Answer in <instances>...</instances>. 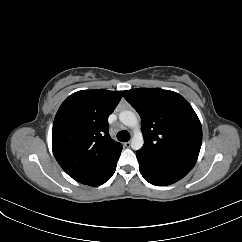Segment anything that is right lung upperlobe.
Returning <instances> with one entry per match:
<instances>
[{
	"label": "right lung upper lobe",
	"mask_w": 242,
	"mask_h": 242,
	"mask_svg": "<svg viewBox=\"0 0 242 242\" xmlns=\"http://www.w3.org/2000/svg\"><path fill=\"white\" fill-rule=\"evenodd\" d=\"M121 97L120 91L81 90L61 104L53 123L52 150L74 180L84 179L122 150L108 133V116Z\"/></svg>",
	"instance_id": "obj_1"
}]
</instances>
